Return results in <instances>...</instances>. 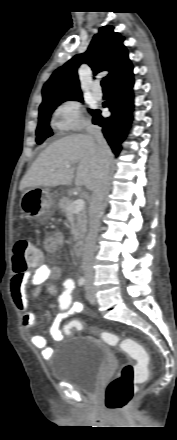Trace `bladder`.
I'll use <instances>...</instances> for the list:
<instances>
[{
    "label": "bladder",
    "instance_id": "obj_1",
    "mask_svg": "<svg viewBox=\"0 0 177 440\" xmlns=\"http://www.w3.org/2000/svg\"><path fill=\"white\" fill-rule=\"evenodd\" d=\"M73 346L59 348L50 366L54 381L72 385L77 390L94 395L102 371L109 358L108 348L97 338L79 337Z\"/></svg>",
    "mask_w": 177,
    "mask_h": 440
}]
</instances>
